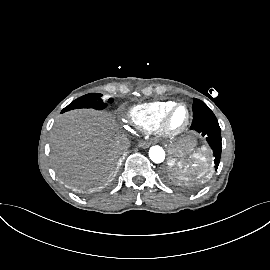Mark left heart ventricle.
<instances>
[{"label":"left heart ventricle","instance_id":"obj_1","mask_svg":"<svg viewBox=\"0 0 270 270\" xmlns=\"http://www.w3.org/2000/svg\"><path fill=\"white\" fill-rule=\"evenodd\" d=\"M186 119V109L184 107H179L173 114L171 118V127L174 129L179 128Z\"/></svg>","mask_w":270,"mask_h":270}]
</instances>
